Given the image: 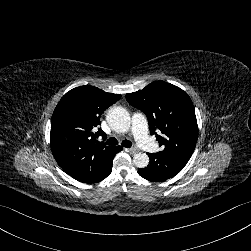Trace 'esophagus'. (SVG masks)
Returning <instances> with one entry per match:
<instances>
[{"label": "esophagus", "mask_w": 251, "mask_h": 251, "mask_svg": "<svg viewBox=\"0 0 251 251\" xmlns=\"http://www.w3.org/2000/svg\"><path fill=\"white\" fill-rule=\"evenodd\" d=\"M129 153L136 154L139 152V149L137 147H132L128 149Z\"/></svg>", "instance_id": "1"}]
</instances>
